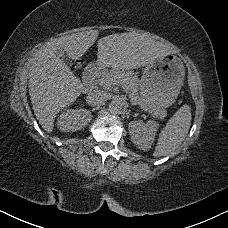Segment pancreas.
Segmentation results:
<instances>
[{"label":"pancreas","instance_id":"1","mask_svg":"<svg viewBox=\"0 0 228 228\" xmlns=\"http://www.w3.org/2000/svg\"><path fill=\"white\" fill-rule=\"evenodd\" d=\"M100 79L104 82L102 87L107 90H110L113 87L112 81L116 80V85L121 86L125 91L129 92V95L133 101L141 105L142 109H144L146 112H149L151 116L161 120H164L168 116L167 111L164 109H149L144 106V103L140 100L139 95L137 94L140 89L139 80L133 72H126L124 70H111L104 72ZM100 79L97 81V84L100 83ZM108 86H111V88L108 89Z\"/></svg>","mask_w":228,"mask_h":228}]
</instances>
